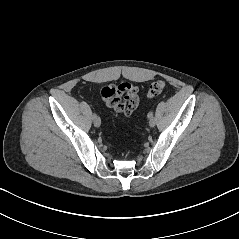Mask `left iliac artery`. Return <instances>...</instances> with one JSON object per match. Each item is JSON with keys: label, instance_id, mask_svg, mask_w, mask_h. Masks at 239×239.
Returning a JSON list of instances; mask_svg holds the SVG:
<instances>
[{"label": "left iliac artery", "instance_id": "left-iliac-artery-1", "mask_svg": "<svg viewBox=\"0 0 239 239\" xmlns=\"http://www.w3.org/2000/svg\"><path fill=\"white\" fill-rule=\"evenodd\" d=\"M147 117H148V118H152V117H153V112L150 111V112L147 114Z\"/></svg>", "mask_w": 239, "mask_h": 239}]
</instances>
